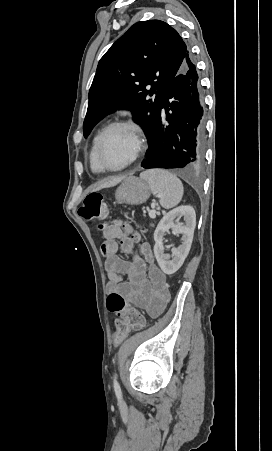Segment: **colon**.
Here are the masks:
<instances>
[{"label": "colon", "mask_w": 272, "mask_h": 451, "mask_svg": "<svg viewBox=\"0 0 272 451\" xmlns=\"http://www.w3.org/2000/svg\"><path fill=\"white\" fill-rule=\"evenodd\" d=\"M78 214L86 223H99L98 229L101 231L105 225L101 223L106 214L105 197L100 192H91L84 197L81 206L78 209ZM107 306V313L117 314V333L119 336L127 335L131 330H140L146 320L134 307L128 306L125 299L119 294H113L112 298H107L105 301ZM113 347L120 345L118 338L111 340Z\"/></svg>", "instance_id": "obj_1"}]
</instances>
